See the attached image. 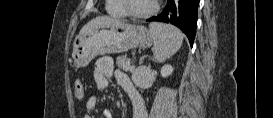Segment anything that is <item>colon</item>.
Segmentation results:
<instances>
[{
    "label": "colon",
    "instance_id": "colon-1",
    "mask_svg": "<svg viewBox=\"0 0 273 118\" xmlns=\"http://www.w3.org/2000/svg\"><path fill=\"white\" fill-rule=\"evenodd\" d=\"M74 94L77 99H82L84 97V85L80 79L74 82Z\"/></svg>",
    "mask_w": 273,
    "mask_h": 118
}]
</instances>
